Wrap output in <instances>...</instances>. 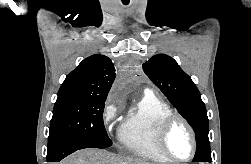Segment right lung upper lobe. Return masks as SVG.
Segmentation results:
<instances>
[{
    "label": "right lung upper lobe",
    "instance_id": "1",
    "mask_svg": "<svg viewBox=\"0 0 251 164\" xmlns=\"http://www.w3.org/2000/svg\"><path fill=\"white\" fill-rule=\"evenodd\" d=\"M115 77L114 65L107 56L92 55L67 75L58 95L107 98Z\"/></svg>",
    "mask_w": 251,
    "mask_h": 164
}]
</instances>
